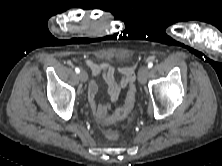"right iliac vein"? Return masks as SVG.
Listing matches in <instances>:
<instances>
[{
    "label": "right iliac vein",
    "mask_w": 222,
    "mask_h": 166,
    "mask_svg": "<svg viewBox=\"0 0 222 166\" xmlns=\"http://www.w3.org/2000/svg\"><path fill=\"white\" fill-rule=\"evenodd\" d=\"M87 78H88V76H87V73L85 71H81L79 73V79H80L81 82H86Z\"/></svg>",
    "instance_id": "right-iliac-vein-1"
}]
</instances>
